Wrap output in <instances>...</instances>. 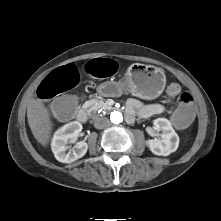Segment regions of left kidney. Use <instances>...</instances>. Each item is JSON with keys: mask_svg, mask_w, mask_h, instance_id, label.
<instances>
[{"mask_svg": "<svg viewBox=\"0 0 221 221\" xmlns=\"http://www.w3.org/2000/svg\"><path fill=\"white\" fill-rule=\"evenodd\" d=\"M154 129L161 131V139H150L146 141V145L150 151L158 156H168L175 152L179 146V136L174 131L170 121L166 118L155 119Z\"/></svg>", "mask_w": 221, "mask_h": 221, "instance_id": "left-kidney-1", "label": "left kidney"}]
</instances>
